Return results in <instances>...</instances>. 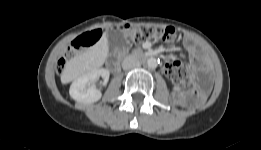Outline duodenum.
Here are the masks:
<instances>
[{
	"mask_svg": "<svg viewBox=\"0 0 261 150\" xmlns=\"http://www.w3.org/2000/svg\"><path fill=\"white\" fill-rule=\"evenodd\" d=\"M135 55H136V56H142L143 54L137 52ZM146 56L152 57L151 54H146ZM108 64H109L110 68H111L113 71H116V70L119 68V65H120V59H119V57H117V56L111 57L110 60H109V62H108Z\"/></svg>",
	"mask_w": 261,
	"mask_h": 150,
	"instance_id": "obj_1",
	"label": "duodenum"
}]
</instances>
